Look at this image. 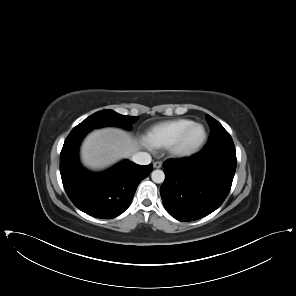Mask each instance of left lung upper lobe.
Masks as SVG:
<instances>
[{
  "label": "left lung upper lobe",
  "mask_w": 296,
  "mask_h": 296,
  "mask_svg": "<svg viewBox=\"0 0 296 296\" xmlns=\"http://www.w3.org/2000/svg\"><path fill=\"white\" fill-rule=\"evenodd\" d=\"M211 134L207 145L201 151L202 156L208 158L224 151L235 152V146L229 133L224 127L209 115H206Z\"/></svg>",
  "instance_id": "1"
}]
</instances>
